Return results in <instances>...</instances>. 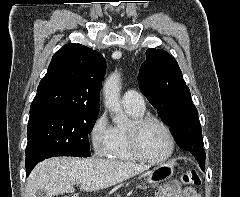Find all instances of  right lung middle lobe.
I'll return each mask as SVG.
<instances>
[{
    "mask_svg": "<svg viewBox=\"0 0 240 197\" xmlns=\"http://www.w3.org/2000/svg\"><path fill=\"white\" fill-rule=\"evenodd\" d=\"M98 113L62 110L30 113L25 151L28 174L38 162L49 157L91 156L88 134Z\"/></svg>",
    "mask_w": 240,
    "mask_h": 197,
    "instance_id": "right-lung-middle-lobe-1",
    "label": "right lung middle lobe"
}]
</instances>
